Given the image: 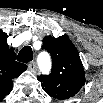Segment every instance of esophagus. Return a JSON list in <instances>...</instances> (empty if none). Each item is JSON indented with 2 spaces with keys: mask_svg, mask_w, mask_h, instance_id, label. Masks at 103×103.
<instances>
[{
  "mask_svg": "<svg viewBox=\"0 0 103 103\" xmlns=\"http://www.w3.org/2000/svg\"><path fill=\"white\" fill-rule=\"evenodd\" d=\"M28 69L30 71H35L36 70V63L34 61L29 62Z\"/></svg>",
  "mask_w": 103,
  "mask_h": 103,
  "instance_id": "34e87169",
  "label": "esophagus"
}]
</instances>
